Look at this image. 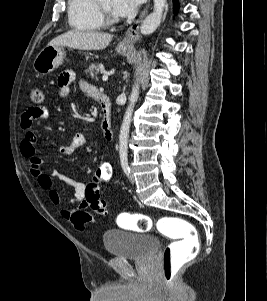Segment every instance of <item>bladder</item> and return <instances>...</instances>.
Masks as SVG:
<instances>
[{"label":"bladder","instance_id":"1","mask_svg":"<svg viewBox=\"0 0 267 301\" xmlns=\"http://www.w3.org/2000/svg\"><path fill=\"white\" fill-rule=\"evenodd\" d=\"M105 251L120 258L143 259L159 248V239L151 234L109 229L103 233Z\"/></svg>","mask_w":267,"mask_h":301}]
</instances>
